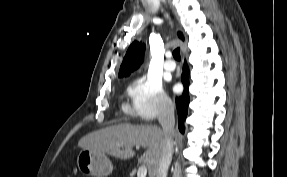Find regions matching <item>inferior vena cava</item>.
Instances as JSON below:
<instances>
[{
	"label": "inferior vena cava",
	"instance_id": "602c4592",
	"mask_svg": "<svg viewBox=\"0 0 287 177\" xmlns=\"http://www.w3.org/2000/svg\"><path fill=\"white\" fill-rule=\"evenodd\" d=\"M158 121L163 129V148L155 177H167L173 154V136L175 126L174 105L171 100H167L163 103L158 114Z\"/></svg>",
	"mask_w": 287,
	"mask_h": 177
}]
</instances>
